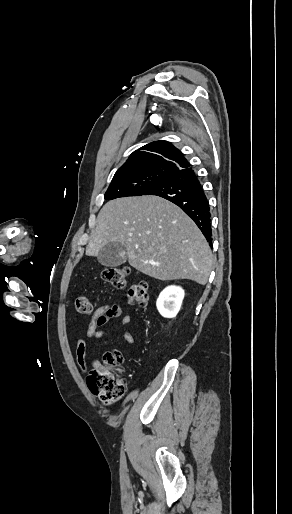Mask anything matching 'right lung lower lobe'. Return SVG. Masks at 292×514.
Masks as SVG:
<instances>
[{
	"label": "right lung lower lobe",
	"mask_w": 292,
	"mask_h": 514,
	"mask_svg": "<svg viewBox=\"0 0 292 514\" xmlns=\"http://www.w3.org/2000/svg\"><path fill=\"white\" fill-rule=\"evenodd\" d=\"M143 195L160 196L179 206L196 223L211 246L209 202L192 168L170 175Z\"/></svg>",
	"instance_id": "98d812e1"
}]
</instances>
